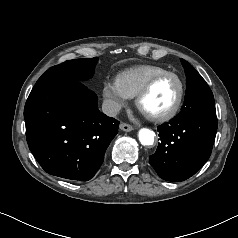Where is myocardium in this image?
<instances>
[{
  "label": "myocardium",
  "mask_w": 238,
  "mask_h": 238,
  "mask_svg": "<svg viewBox=\"0 0 238 238\" xmlns=\"http://www.w3.org/2000/svg\"><path fill=\"white\" fill-rule=\"evenodd\" d=\"M167 76L174 77L179 83V93H178L175 103L168 111H166L164 113H161L158 115L145 114L141 110L142 100L151 91L152 87L158 80H160L164 77H167ZM184 96H185V83H184L183 79L177 73H174L172 71H165V72H162V73L152 76L146 82V84L142 87V89L138 92V94L135 97V105L138 108V110L140 112H142L145 115V117L148 118L149 120H151L153 122H165V121L172 119L173 117H175L177 115V113L179 112V110L182 106Z\"/></svg>",
  "instance_id": "obj_1"
}]
</instances>
